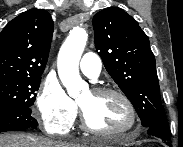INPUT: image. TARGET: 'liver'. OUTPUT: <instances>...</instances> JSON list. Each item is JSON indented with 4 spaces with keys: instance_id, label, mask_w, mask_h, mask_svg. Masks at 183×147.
Wrapping results in <instances>:
<instances>
[{
    "instance_id": "obj_1",
    "label": "liver",
    "mask_w": 183,
    "mask_h": 147,
    "mask_svg": "<svg viewBox=\"0 0 183 147\" xmlns=\"http://www.w3.org/2000/svg\"><path fill=\"white\" fill-rule=\"evenodd\" d=\"M95 141L81 144L56 142L43 137L24 133H7L0 135V147H92L97 146Z\"/></svg>"
}]
</instances>
